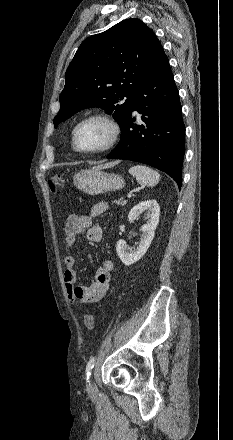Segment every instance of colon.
Segmentation results:
<instances>
[{
  "mask_svg": "<svg viewBox=\"0 0 233 440\" xmlns=\"http://www.w3.org/2000/svg\"><path fill=\"white\" fill-rule=\"evenodd\" d=\"M64 183L63 177L59 174H54L50 176L48 180V185L50 190L55 193L62 188ZM84 325L87 330H92L95 326V318L93 315L89 314L84 317Z\"/></svg>",
  "mask_w": 233,
  "mask_h": 440,
  "instance_id": "1",
  "label": "colon"
}]
</instances>
